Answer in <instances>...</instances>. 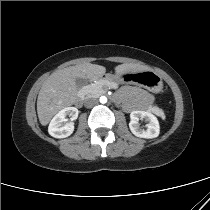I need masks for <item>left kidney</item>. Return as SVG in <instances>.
<instances>
[{
	"mask_svg": "<svg viewBox=\"0 0 210 210\" xmlns=\"http://www.w3.org/2000/svg\"><path fill=\"white\" fill-rule=\"evenodd\" d=\"M131 121L129 123V128L131 132L140 138H156L159 136L160 133V126L159 121L156 116H154L149 111H133L130 114ZM139 118L142 120L143 118H146L149 123L146 125L147 129H141L140 125L138 123Z\"/></svg>",
	"mask_w": 210,
	"mask_h": 210,
	"instance_id": "obj_1",
	"label": "left kidney"
}]
</instances>
